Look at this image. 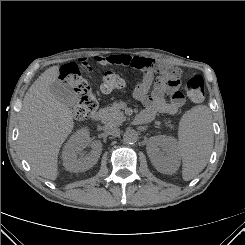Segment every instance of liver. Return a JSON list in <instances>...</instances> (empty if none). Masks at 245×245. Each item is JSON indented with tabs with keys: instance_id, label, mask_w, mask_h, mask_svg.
<instances>
[{
	"instance_id": "liver-1",
	"label": "liver",
	"mask_w": 245,
	"mask_h": 245,
	"mask_svg": "<svg viewBox=\"0 0 245 245\" xmlns=\"http://www.w3.org/2000/svg\"><path fill=\"white\" fill-rule=\"evenodd\" d=\"M59 66L42 73L28 89L19 119V146L31 168L55 180L60 148L74 127L72 111L51 92L58 80Z\"/></svg>"
}]
</instances>
